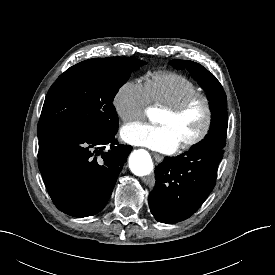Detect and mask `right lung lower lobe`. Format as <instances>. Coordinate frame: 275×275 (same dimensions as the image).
<instances>
[{
  "instance_id": "98d812e1",
  "label": "right lung lower lobe",
  "mask_w": 275,
  "mask_h": 275,
  "mask_svg": "<svg viewBox=\"0 0 275 275\" xmlns=\"http://www.w3.org/2000/svg\"><path fill=\"white\" fill-rule=\"evenodd\" d=\"M116 133L67 134L40 140L39 170L60 211L87 217L102 210L132 149L118 144ZM109 144L110 149L103 151Z\"/></svg>"
}]
</instances>
